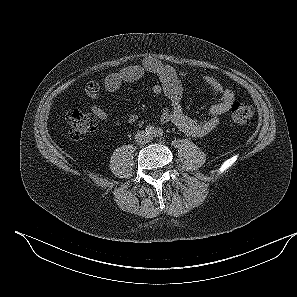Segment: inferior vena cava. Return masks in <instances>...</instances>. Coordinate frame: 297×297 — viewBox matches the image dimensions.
<instances>
[{
	"mask_svg": "<svg viewBox=\"0 0 297 297\" xmlns=\"http://www.w3.org/2000/svg\"><path fill=\"white\" fill-rule=\"evenodd\" d=\"M135 140L138 144H144L150 141V137L146 132L140 131L135 135Z\"/></svg>",
	"mask_w": 297,
	"mask_h": 297,
	"instance_id": "inferior-vena-cava-1",
	"label": "inferior vena cava"
}]
</instances>
